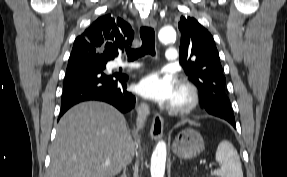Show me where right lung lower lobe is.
Masks as SVG:
<instances>
[{"label": "right lung lower lobe", "mask_w": 287, "mask_h": 177, "mask_svg": "<svg viewBox=\"0 0 287 177\" xmlns=\"http://www.w3.org/2000/svg\"><path fill=\"white\" fill-rule=\"evenodd\" d=\"M127 80V75L108 74L96 65L67 70L59 118L73 105L90 100L107 102L123 113L130 111L135 97L127 91Z\"/></svg>", "instance_id": "right-lung-lower-lobe-1"}]
</instances>
